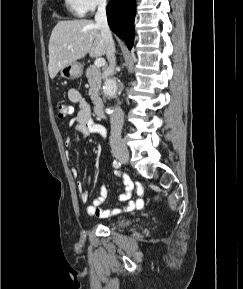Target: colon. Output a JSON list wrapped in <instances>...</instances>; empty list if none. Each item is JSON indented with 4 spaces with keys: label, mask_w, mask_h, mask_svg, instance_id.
<instances>
[{
    "label": "colon",
    "mask_w": 243,
    "mask_h": 289,
    "mask_svg": "<svg viewBox=\"0 0 243 289\" xmlns=\"http://www.w3.org/2000/svg\"><path fill=\"white\" fill-rule=\"evenodd\" d=\"M72 113V108L65 103L57 105V114L60 118H65Z\"/></svg>",
    "instance_id": "obj_1"
}]
</instances>
